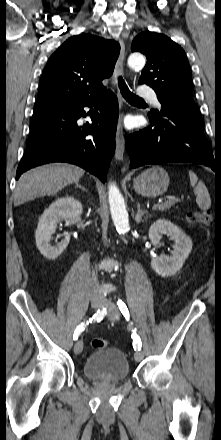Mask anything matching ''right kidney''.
<instances>
[{
  "mask_svg": "<svg viewBox=\"0 0 221 440\" xmlns=\"http://www.w3.org/2000/svg\"><path fill=\"white\" fill-rule=\"evenodd\" d=\"M82 204L73 197H62L54 201L46 209L39 219L35 233L36 245L40 253L49 260L56 259L66 249L70 241V235L54 246L50 245L52 234L57 224L62 220L79 217L82 214Z\"/></svg>",
  "mask_w": 221,
  "mask_h": 440,
  "instance_id": "1",
  "label": "right kidney"
}]
</instances>
